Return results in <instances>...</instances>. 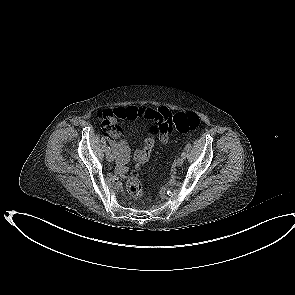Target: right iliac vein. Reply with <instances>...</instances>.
Wrapping results in <instances>:
<instances>
[{
	"label": "right iliac vein",
	"mask_w": 295,
	"mask_h": 295,
	"mask_svg": "<svg viewBox=\"0 0 295 295\" xmlns=\"http://www.w3.org/2000/svg\"><path fill=\"white\" fill-rule=\"evenodd\" d=\"M106 158L109 162H113L115 160L114 154H112L110 152L106 154Z\"/></svg>",
	"instance_id": "63e3f726"
}]
</instances>
